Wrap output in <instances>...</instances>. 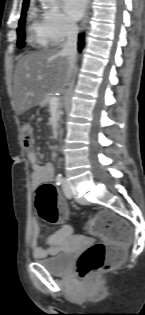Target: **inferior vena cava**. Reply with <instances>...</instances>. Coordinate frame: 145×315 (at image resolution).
Wrapping results in <instances>:
<instances>
[{"label":"inferior vena cava","mask_w":145,"mask_h":315,"mask_svg":"<svg viewBox=\"0 0 145 315\" xmlns=\"http://www.w3.org/2000/svg\"><path fill=\"white\" fill-rule=\"evenodd\" d=\"M66 36H67L66 41L63 44V48L60 53L68 58L70 77L71 72L75 67L76 61L78 26L74 23H69L67 25Z\"/></svg>","instance_id":"inferior-vena-cava-1"}]
</instances>
